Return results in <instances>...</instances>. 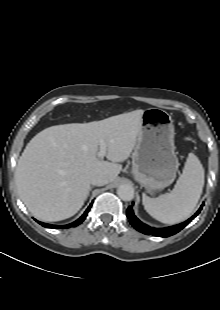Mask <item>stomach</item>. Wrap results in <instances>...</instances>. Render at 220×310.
<instances>
[{
    "mask_svg": "<svg viewBox=\"0 0 220 310\" xmlns=\"http://www.w3.org/2000/svg\"><path fill=\"white\" fill-rule=\"evenodd\" d=\"M178 167L171 116L159 108L145 110L132 153L134 179L152 193L172 184Z\"/></svg>",
    "mask_w": 220,
    "mask_h": 310,
    "instance_id": "stomach-1",
    "label": "stomach"
}]
</instances>
